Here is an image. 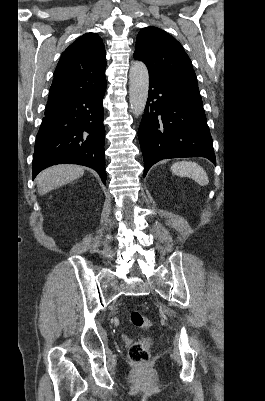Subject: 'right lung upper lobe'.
Returning <instances> with one entry per match:
<instances>
[{"label": "right lung upper lobe", "instance_id": "right-lung-upper-lobe-1", "mask_svg": "<svg viewBox=\"0 0 265 401\" xmlns=\"http://www.w3.org/2000/svg\"><path fill=\"white\" fill-rule=\"evenodd\" d=\"M106 52L101 38L86 33L61 55L47 104L106 87Z\"/></svg>", "mask_w": 265, "mask_h": 401}]
</instances>
